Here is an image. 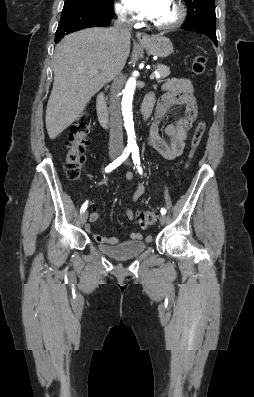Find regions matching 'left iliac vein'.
I'll return each mask as SVG.
<instances>
[{
    "mask_svg": "<svg viewBox=\"0 0 254 397\" xmlns=\"http://www.w3.org/2000/svg\"><path fill=\"white\" fill-rule=\"evenodd\" d=\"M127 164H129V163L127 162ZM166 222H167L166 216H165V215H161V216H160V223H161L162 225H165Z\"/></svg>",
    "mask_w": 254,
    "mask_h": 397,
    "instance_id": "obj_1",
    "label": "left iliac vein"
}]
</instances>
